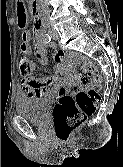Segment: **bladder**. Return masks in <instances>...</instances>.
<instances>
[{
  "mask_svg": "<svg viewBox=\"0 0 123 167\" xmlns=\"http://www.w3.org/2000/svg\"><path fill=\"white\" fill-rule=\"evenodd\" d=\"M15 108L18 115L32 123L43 125L48 120L52 101L46 97L22 95L16 98Z\"/></svg>",
  "mask_w": 123,
  "mask_h": 167,
  "instance_id": "31cf9c89",
  "label": "bladder"
}]
</instances>
